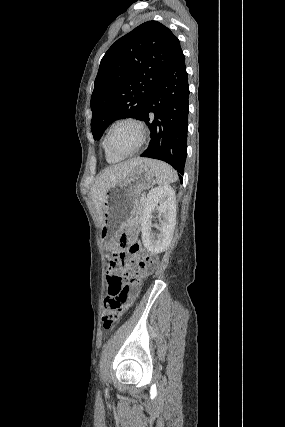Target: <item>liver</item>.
<instances>
[{
  "label": "liver",
  "mask_w": 285,
  "mask_h": 427,
  "mask_svg": "<svg viewBox=\"0 0 285 427\" xmlns=\"http://www.w3.org/2000/svg\"><path fill=\"white\" fill-rule=\"evenodd\" d=\"M145 162L143 158H134L103 170L91 188V197L95 205L100 223L103 221V202L106 192L120 183L131 170Z\"/></svg>",
  "instance_id": "6515ba94"
}]
</instances>
